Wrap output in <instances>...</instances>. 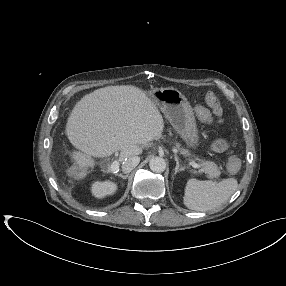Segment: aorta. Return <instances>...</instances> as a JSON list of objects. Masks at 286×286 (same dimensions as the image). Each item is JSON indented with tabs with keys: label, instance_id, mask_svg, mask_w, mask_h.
I'll use <instances>...</instances> for the list:
<instances>
[{
	"label": "aorta",
	"instance_id": "1",
	"mask_svg": "<svg viewBox=\"0 0 286 286\" xmlns=\"http://www.w3.org/2000/svg\"><path fill=\"white\" fill-rule=\"evenodd\" d=\"M149 167L155 173H162L166 169V161L161 157H153L149 162Z\"/></svg>",
	"mask_w": 286,
	"mask_h": 286
}]
</instances>
